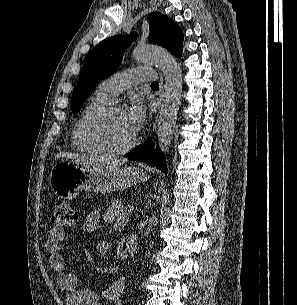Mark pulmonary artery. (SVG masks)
<instances>
[{
  "label": "pulmonary artery",
  "instance_id": "e3ab8cb5",
  "mask_svg": "<svg viewBox=\"0 0 297 305\" xmlns=\"http://www.w3.org/2000/svg\"><path fill=\"white\" fill-rule=\"evenodd\" d=\"M154 80V72L150 69H127L118 72L103 80L97 87L98 92L110 101L122 91L133 87L141 82H151Z\"/></svg>",
  "mask_w": 297,
  "mask_h": 305
}]
</instances>
